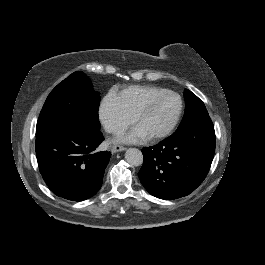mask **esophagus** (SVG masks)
<instances>
[{
  "label": "esophagus",
  "mask_w": 265,
  "mask_h": 265,
  "mask_svg": "<svg viewBox=\"0 0 265 265\" xmlns=\"http://www.w3.org/2000/svg\"><path fill=\"white\" fill-rule=\"evenodd\" d=\"M125 150H126V148L123 147V146H120V145H114V146L112 147V152H113V153H116V152H122V151H125Z\"/></svg>",
  "instance_id": "34e87169"
}]
</instances>
